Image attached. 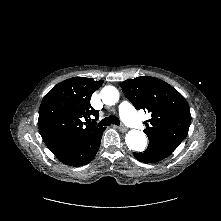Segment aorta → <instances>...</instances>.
Returning <instances> with one entry per match:
<instances>
[{"mask_svg": "<svg viewBox=\"0 0 221 221\" xmlns=\"http://www.w3.org/2000/svg\"><path fill=\"white\" fill-rule=\"evenodd\" d=\"M100 97L106 105H115L119 100V92L114 86H105ZM126 144L128 148L142 152L147 145V137L143 131L130 130L126 134Z\"/></svg>", "mask_w": 221, "mask_h": 221, "instance_id": "1", "label": "aorta"}]
</instances>
